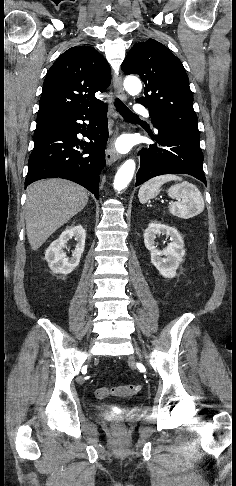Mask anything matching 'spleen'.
Wrapping results in <instances>:
<instances>
[{
    "label": "spleen",
    "instance_id": "1",
    "mask_svg": "<svg viewBox=\"0 0 236 486\" xmlns=\"http://www.w3.org/2000/svg\"><path fill=\"white\" fill-rule=\"evenodd\" d=\"M169 181L179 182L172 185L167 191L169 197L178 200V202L169 205V211L173 215L188 219L204 210V200L199 189L192 183L183 181L180 176L173 174L161 175L145 182L139 189V201L146 203L151 198L156 197L161 191V186Z\"/></svg>",
    "mask_w": 236,
    "mask_h": 486
}]
</instances>
